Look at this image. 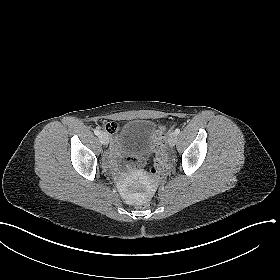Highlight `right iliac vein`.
I'll list each match as a JSON object with an SVG mask.
<instances>
[{
    "label": "right iliac vein",
    "instance_id": "right-iliac-vein-1",
    "mask_svg": "<svg viewBox=\"0 0 280 280\" xmlns=\"http://www.w3.org/2000/svg\"><path fill=\"white\" fill-rule=\"evenodd\" d=\"M99 139H100V141L103 145H108L109 138H108V135L105 132H102L100 134Z\"/></svg>",
    "mask_w": 280,
    "mask_h": 280
}]
</instances>
